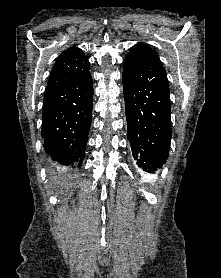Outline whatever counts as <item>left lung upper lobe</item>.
<instances>
[{
    "label": "left lung upper lobe",
    "instance_id": "5c2ea615",
    "mask_svg": "<svg viewBox=\"0 0 221 278\" xmlns=\"http://www.w3.org/2000/svg\"><path fill=\"white\" fill-rule=\"evenodd\" d=\"M124 63L133 64L138 67L149 63L159 64L162 66L158 54L147 44L143 43H138L131 48L128 56L124 60Z\"/></svg>",
    "mask_w": 221,
    "mask_h": 278
}]
</instances>
